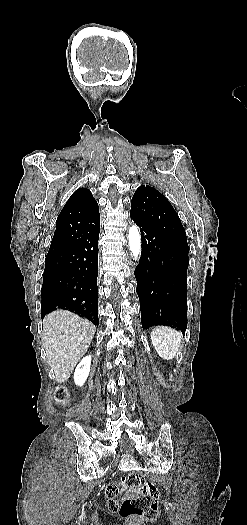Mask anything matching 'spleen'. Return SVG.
Masks as SVG:
<instances>
[{
    "mask_svg": "<svg viewBox=\"0 0 247 525\" xmlns=\"http://www.w3.org/2000/svg\"><path fill=\"white\" fill-rule=\"evenodd\" d=\"M181 341V333L171 327H155L151 333V343L157 355L165 361H171L176 357Z\"/></svg>",
    "mask_w": 247,
    "mask_h": 525,
    "instance_id": "1",
    "label": "spleen"
}]
</instances>
